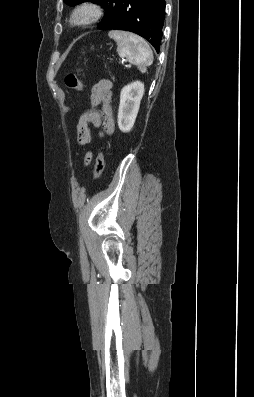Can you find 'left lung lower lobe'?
Returning <instances> with one entry per match:
<instances>
[{
	"instance_id": "left-lung-lower-lobe-1",
	"label": "left lung lower lobe",
	"mask_w": 254,
	"mask_h": 397,
	"mask_svg": "<svg viewBox=\"0 0 254 397\" xmlns=\"http://www.w3.org/2000/svg\"><path fill=\"white\" fill-rule=\"evenodd\" d=\"M164 19L165 0H110L98 28L134 32L159 52Z\"/></svg>"
}]
</instances>
